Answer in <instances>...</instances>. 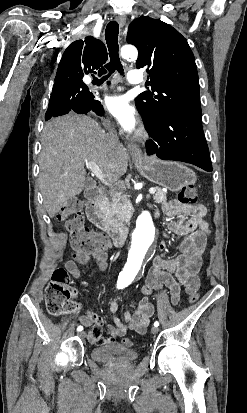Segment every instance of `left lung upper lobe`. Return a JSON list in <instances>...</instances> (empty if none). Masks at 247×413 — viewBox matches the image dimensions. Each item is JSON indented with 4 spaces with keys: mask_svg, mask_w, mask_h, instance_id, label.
Returning a JSON list of instances; mask_svg holds the SVG:
<instances>
[{
    "mask_svg": "<svg viewBox=\"0 0 247 413\" xmlns=\"http://www.w3.org/2000/svg\"><path fill=\"white\" fill-rule=\"evenodd\" d=\"M127 43L137 47L136 66L146 68L151 83L152 90L135 99L145 125L170 113L201 119L197 67L187 40L165 22L142 16L129 25Z\"/></svg>",
    "mask_w": 247,
    "mask_h": 413,
    "instance_id": "5c2ea615",
    "label": "left lung upper lobe"
}]
</instances>
